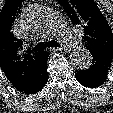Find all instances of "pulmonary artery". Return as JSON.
I'll return each mask as SVG.
<instances>
[{
  "instance_id": "e3ab8cb5",
  "label": "pulmonary artery",
  "mask_w": 113,
  "mask_h": 113,
  "mask_svg": "<svg viewBox=\"0 0 113 113\" xmlns=\"http://www.w3.org/2000/svg\"><path fill=\"white\" fill-rule=\"evenodd\" d=\"M46 31L50 34H58L64 44L69 48H80L81 41L76 34L71 33L63 24L61 17L55 9L47 10Z\"/></svg>"
}]
</instances>
